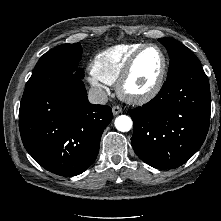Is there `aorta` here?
<instances>
[{
  "mask_svg": "<svg viewBox=\"0 0 221 221\" xmlns=\"http://www.w3.org/2000/svg\"><path fill=\"white\" fill-rule=\"evenodd\" d=\"M115 128L120 132H128L133 126L132 119L126 115H120L115 119Z\"/></svg>",
  "mask_w": 221,
  "mask_h": 221,
  "instance_id": "obj_1",
  "label": "aorta"
}]
</instances>
